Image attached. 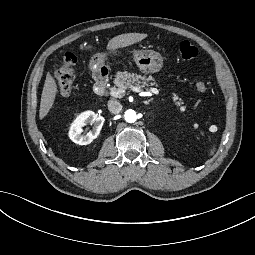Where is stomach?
I'll list each match as a JSON object with an SVG mask.
<instances>
[{"label":"stomach","mask_w":255,"mask_h":255,"mask_svg":"<svg viewBox=\"0 0 255 255\" xmlns=\"http://www.w3.org/2000/svg\"><path fill=\"white\" fill-rule=\"evenodd\" d=\"M110 53L116 55L118 50H111ZM107 53H96L90 60V70L93 73L99 71L104 65ZM134 60L143 73H155L161 70L163 59L159 53L150 50H136L134 51Z\"/></svg>","instance_id":"0dacf381"}]
</instances>
